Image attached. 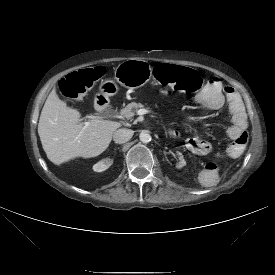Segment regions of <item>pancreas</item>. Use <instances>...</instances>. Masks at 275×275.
I'll return each instance as SVG.
<instances>
[{
	"mask_svg": "<svg viewBox=\"0 0 275 275\" xmlns=\"http://www.w3.org/2000/svg\"><path fill=\"white\" fill-rule=\"evenodd\" d=\"M142 108H144L143 104L131 102L121 110V115L130 119L134 116L136 111Z\"/></svg>",
	"mask_w": 275,
	"mask_h": 275,
	"instance_id": "1",
	"label": "pancreas"
}]
</instances>
